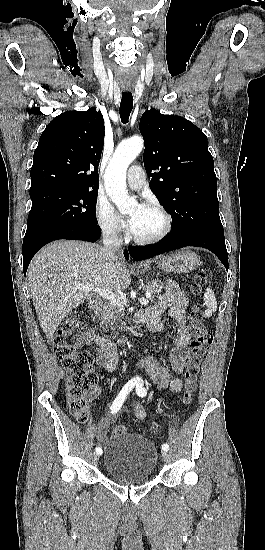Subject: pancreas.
Listing matches in <instances>:
<instances>
[{
  "mask_svg": "<svg viewBox=\"0 0 265 550\" xmlns=\"http://www.w3.org/2000/svg\"><path fill=\"white\" fill-rule=\"evenodd\" d=\"M143 288L146 290V292H149L151 294L150 301L153 302L155 301V299L161 296L164 284L157 280H152L147 282L146 285L143 286ZM124 312V305L119 306L109 301H106L103 304L102 308L96 313V316L99 318L102 325L108 326L115 324L116 327L122 331L123 325H117V323L121 322V318L124 317ZM114 336H116V334Z\"/></svg>",
  "mask_w": 265,
  "mask_h": 550,
  "instance_id": "1",
  "label": "pancreas"
}]
</instances>
